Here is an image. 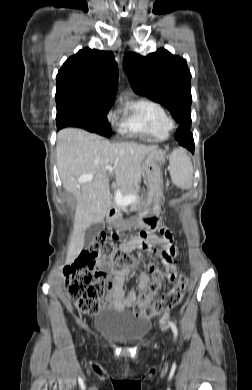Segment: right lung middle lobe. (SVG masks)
Segmentation results:
<instances>
[{"label": "right lung middle lobe", "mask_w": 252, "mask_h": 390, "mask_svg": "<svg viewBox=\"0 0 252 390\" xmlns=\"http://www.w3.org/2000/svg\"><path fill=\"white\" fill-rule=\"evenodd\" d=\"M112 105L105 103H64L57 105V130L80 127L106 137L111 135L106 112Z\"/></svg>", "instance_id": "dd1d6c3e"}]
</instances>
